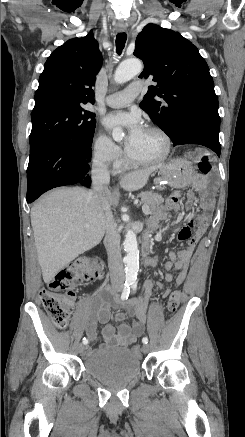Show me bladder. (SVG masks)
I'll return each instance as SVG.
<instances>
[{"mask_svg": "<svg viewBox=\"0 0 245 437\" xmlns=\"http://www.w3.org/2000/svg\"><path fill=\"white\" fill-rule=\"evenodd\" d=\"M85 371L109 385H120L134 378L140 369V360L126 348H100L85 359Z\"/></svg>", "mask_w": 245, "mask_h": 437, "instance_id": "obj_1", "label": "bladder"}]
</instances>
